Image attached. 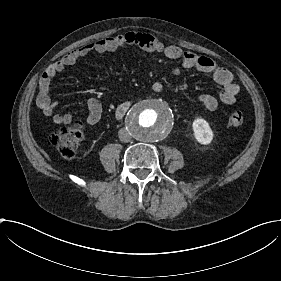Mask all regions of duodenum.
<instances>
[{
  "instance_id": "duodenum-1",
  "label": "duodenum",
  "mask_w": 281,
  "mask_h": 281,
  "mask_svg": "<svg viewBox=\"0 0 281 281\" xmlns=\"http://www.w3.org/2000/svg\"><path fill=\"white\" fill-rule=\"evenodd\" d=\"M129 106H130L129 103H123L119 105L116 110V117L119 119L122 118L125 115V113L128 111Z\"/></svg>"
}]
</instances>
